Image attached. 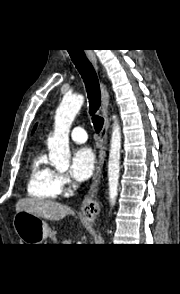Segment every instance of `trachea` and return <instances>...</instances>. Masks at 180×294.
Wrapping results in <instances>:
<instances>
[{
    "instance_id": "1",
    "label": "trachea",
    "mask_w": 180,
    "mask_h": 294,
    "mask_svg": "<svg viewBox=\"0 0 180 294\" xmlns=\"http://www.w3.org/2000/svg\"><path fill=\"white\" fill-rule=\"evenodd\" d=\"M68 53L85 83L89 99V113L92 116L95 131L99 133L103 127L104 119L97 114L101 96L96 72L82 49L68 50Z\"/></svg>"
}]
</instances>
